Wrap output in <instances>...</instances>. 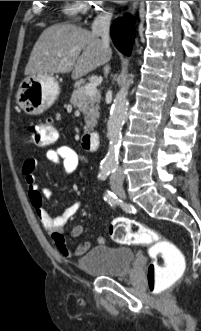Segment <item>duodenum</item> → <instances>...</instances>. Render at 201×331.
I'll list each match as a JSON object with an SVG mask.
<instances>
[{
    "instance_id": "duodenum-1",
    "label": "duodenum",
    "mask_w": 201,
    "mask_h": 331,
    "mask_svg": "<svg viewBox=\"0 0 201 331\" xmlns=\"http://www.w3.org/2000/svg\"><path fill=\"white\" fill-rule=\"evenodd\" d=\"M82 144L91 151L98 150L100 146V135L97 132H89L83 135Z\"/></svg>"
}]
</instances>
